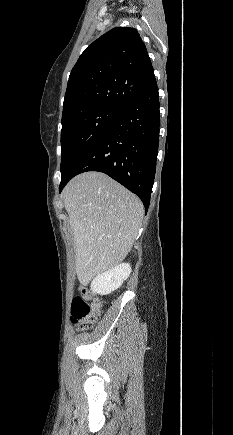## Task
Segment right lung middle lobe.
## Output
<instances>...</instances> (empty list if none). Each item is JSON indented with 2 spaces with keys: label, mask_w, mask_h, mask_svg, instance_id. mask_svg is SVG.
Listing matches in <instances>:
<instances>
[{
  "label": "right lung middle lobe",
  "mask_w": 233,
  "mask_h": 435,
  "mask_svg": "<svg viewBox=\"0 0 233 435\" xmlns=\"http://www.w3.org/2000/svg\"><path fill=\"white\" fill-rule=\"evenodd\" d=\"M121 109L98 107L62 121L61 179L100 137Z\"/></svg>",
  "instance_id": "1"
}]
</instances>
